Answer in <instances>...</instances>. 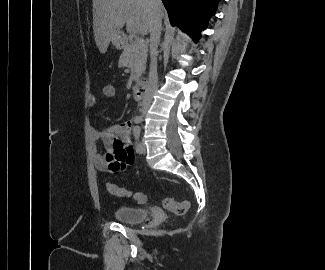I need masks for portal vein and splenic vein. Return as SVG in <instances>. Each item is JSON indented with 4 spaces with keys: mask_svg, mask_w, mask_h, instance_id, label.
<instances>
[{
    "mask_svg": "<svg viewBox=\"0 0 325 270\" xmlns=\"http://www.w3.org/2000/svg\"><path fill=\"white\" fill-rule=\"evenodd\" d=\"M136 43L138 46H144L145 45V41L141 38H137L136 39Z\"/></svg>",
    "mask_w": 325,
    "mask_h": 270,
    "instance_id": "portal-vein-and-splenic-vein-1",
    "label": "portal vein and splenic vein"
}]
</instances>
